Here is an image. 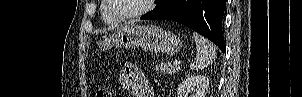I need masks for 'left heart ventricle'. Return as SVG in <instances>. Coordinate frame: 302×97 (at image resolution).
<instances>
[{
	"mask_svg": "<svg viewBox=\"0 0 302 97\" xmlns=\"http://www.w3.org/2000/svg\"><path fill=\"white\" fill-rule=\"evenodd\" d=\"M115 11L120 15H129L139 11L146 4L145 0H112Z\"/></svg>",
	"mask_w": 302,
	"mask_h": 97,
	"instance_id": "obj_1",
	"label": "left heart ventricle"
}]
</instances>
